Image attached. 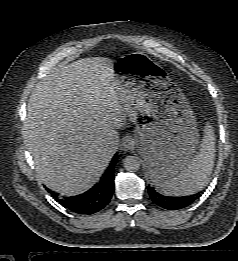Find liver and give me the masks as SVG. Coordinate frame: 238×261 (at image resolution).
Instances as JSON below:
<instances>
[{"label": "liver", "instance_id": "1", "mask_svg": "<svg viewBox=\"0 0 238 261\" xmlns=\"http://www.w3.org/2000/svg\"><path fill=\"white\" fill-rule=\"evenodd\" d=\"M113 61L84 58L60 65L31 94L24 124L25 145L37 178L66 196L90 189L108 167L126 122Z\"/></svg>", "mask_w": 238, "mask_h": 261}]
</instances>
